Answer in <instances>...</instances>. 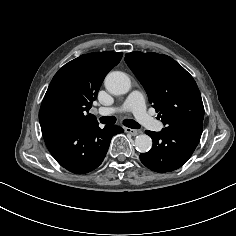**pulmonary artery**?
Here are the masks:
<instances>
[{"label":"pulmonary artery","mask_w":236,"mask_h":236,"mask_svg":"<svg viewBox=\"0 0 236 236\" xmlns=\"http://www.w3.org/2000/svg\"><path fill=\"white\" fill-rule=\"evenodd\" d=\"M122 111L132 112L136 119L144 125L153 122L152 117L146 111L144 96L140 91H132L126 98L122 107H100L98 108L97 113L102 116H108Z\"/></svg>","instance_id":"pulmonary-artery-1"}]
</instances>
